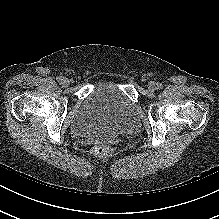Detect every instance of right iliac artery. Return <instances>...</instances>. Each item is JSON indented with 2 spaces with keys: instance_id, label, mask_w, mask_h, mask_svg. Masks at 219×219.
<instances>
[{
  "instance_id": "1",
  "label": "right iliac artery",
  "mask_w": 219,
  "mask_h": 219,
  "mask_svg": "<svg viewBox=\"0 0 219 219\" xmlns=\"http://www.w3.org/2000/svg\"><path fill=\"white\" fill-rule=\"evenodd\" d=\"M63 78H64V77L59 76V77H57V81L61 82V81L63 80Z\"/></svg>"
}]
</instances>
